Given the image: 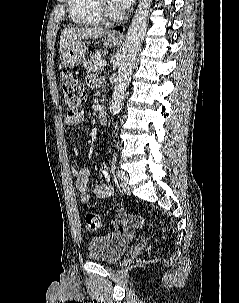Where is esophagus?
<instances>
[{"mask_svg":"<svg viewBox=\"0 0 239 303\" xmlns=\"http://www.w3.org/2000/svg\"><path fill=\"white\" fill-rule=\"evenodd\" d=\"M111 37L113 39H116V40H122L123 39V35L119 32H114L111 34Z\"/></svg>","mask_w":239,"mask_h":303,"instance_id":"obj_1","label":"esophagus"}]
</instances>
